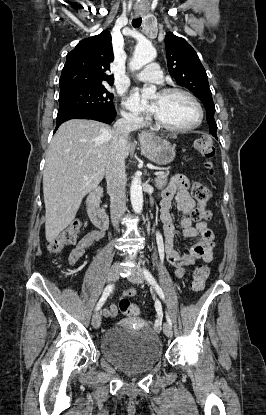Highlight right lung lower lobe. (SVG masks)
Returning a JSON list of instances; mask_svg holds the SVG:
<instances>
[{"mask_svg":"<svg viewBox=\"0 0 266 415\" xmlns=\"http://www.w3.org/2000/svg\"><path fill=\"white\" fill-rule=\"evenodd\" d=\"M116 116V111L104 112L89 109H61L58 111L56 129L65 121L70 119H92L110 124Z\"/></svg>","mask_w":266,"mask_h":415,"instance_id":"obj_1","label":"right lung lower lobe"}]
</instances>
